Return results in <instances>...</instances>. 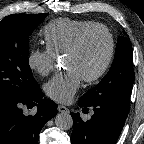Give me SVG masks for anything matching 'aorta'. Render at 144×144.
Here are the masks:
<instances>
[{
  "label": "aorta",
  "instance_id": "obj_1",
  "mask_svg": "<svg viewBox=\"0 0 144 144\" xmlns=\"http://www.w3.org/2000/svg\"><path fill=\"white\" fill-rule=\"evenodd\" d=\"M55 124L61 130H69L73 126L72 116L66 112L59 113L55 118Z\"/></svg>",
  "mask_w": 144,
  "mask_h": 144
}]
</instances>
